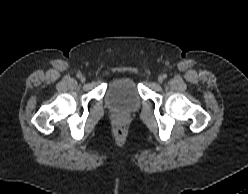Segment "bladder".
I'll return each mask as SVG.
<instances>
[{
	"mask_svg": "<svg viewBox=\"0 0 248 194\" xmlns=\"http://www.w3.org/2000/svg\"><path fill=\"white\" fill-rule=\"evenodd\" d=\"M106 101L114 109L133 112L140 107L141 98L136 81L131 76L117 78L107 89Z\"/></svg>",
	"mask_w": 248,
	"mask_h": 194,
	"instance_id": "obj_1",
	"label": "bladder"
}]
</instances>
